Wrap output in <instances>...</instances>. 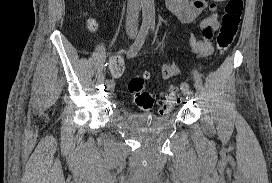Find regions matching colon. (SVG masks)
<instances>
[{
    "label": "colon",
    "instance_id": "1",
    "mask_svg": "<svg viewBox=\"0 0 272 183\" xmlns=\"http://www.w3.org/2000/svg\"><path fill=\"white\" fill-rule=\"evenodd\" d=\"M243 0H228L222 16V22L219 34L217 35V48L219 52H225L233 43L240 25L243 12ZM92 29L96 28L94 20L90 21ZM210 40V39H209ZM150 75L144 73L132 78L129 82L128 89L133 95L139 108L145 111L151 110L155 105V98L152 93L146 90L149 83ZM180 100L177 89H172L170 93L158 100L157 104L161 113L171 111Z\"/></svg>",
    "mask_w": 272,
    "mask_h": 183
}]
</instances>
